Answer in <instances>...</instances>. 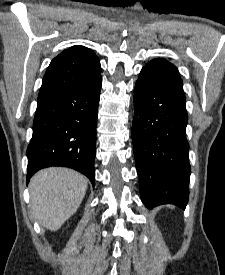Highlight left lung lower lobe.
I'll return each mask as SVG.
<instances>
[{
  "instance_id": "1",
  "label": "left lung lower lobe",
  "mask_w": 225,
  "mask_h": 275,
  "mask_svg": "<svg viewBox=\"0 0 225 275\" xmlns=\"http://www.w3.org/2000/svg\"><path fill=\"white\" fill-rule=\"evenodd\" d=\"M131 136L147 208L174 204L185 208L189 196L188 123L183 89L142 69L135 85Z\"/></svg>"
}]
</instances>
